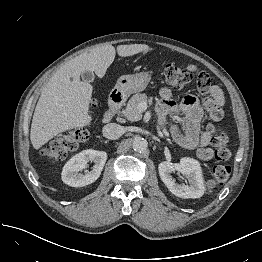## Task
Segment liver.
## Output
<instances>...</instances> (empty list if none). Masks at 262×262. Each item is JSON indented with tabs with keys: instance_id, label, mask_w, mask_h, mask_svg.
Masks as SVG:
<instances>
[{
	"instance_id": "6515ba94",
	"label": "liver",
	"mask_w": 262,
	"mask_h": 262,
	"mask_svg": "<svg viewBox=\"0 0 262 262\" xmlns=\"http://www.w3.org/2000/svg\"><path fill=\"white\" fill-rule=\"evenodd\" d=\"M148 49L146 44L119 45L117 53L128 57ZM115 55L112 45L97 47L71 59L50 78L37 102L31 124L30 140L36 150L59 133L91 123L92 86L82 82L80 75L91 71L103 78Z\"/></svg>"
}]
</instances>
